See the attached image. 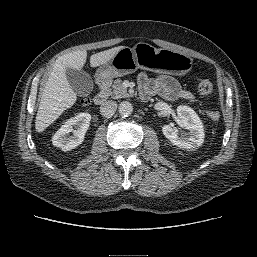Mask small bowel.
Returning <instances> with one entry per match:
<instances>
[{"label":"small bowel","mask_w":257,"mask_h":257,"mask_svg":"<svg viewBox=\"0 0 257 257\" xmlns=\"http://www.w3.org/2000/svg\"><path fill=\"white\" fill-rule=\"evenodd\" d=\"M140 95L142 99H148L154 95H160L169 101L177 99H192L193 93L182 88L180 83L169 75L152 76L148 73H141L138 78Z\"/></svg>","instance_id":"1"}]
</instances>
